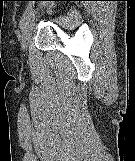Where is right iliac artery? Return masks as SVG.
<instances>
[{"instance_id": "82829eb1", "label": "right iliac artery", "mask_w": 135, "mask_h": 161, "mask_svg": "<svg viewBox=\"0 0 135 161\" xmlns=\"http://www.w3.org/2000/svg\"><path fill=\"white\" fill-rule=\"evenodd\" d=\"M32 13V5H30L24 12L21 20H20V28L21 29H24V27L26 26L27 22H28V19L30 17Z\"/></svg>"}]
</instances>
